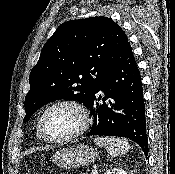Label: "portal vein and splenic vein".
Wrapping results in <instances>:
<instances>
[{
	"label": "portal vein and splenic vein",
	"mask_w": 175,
	"mask_h": 174,
	"mask_svg": "<svg viewBox=\"0 0 175 174\" xmlns=\"http://www.w3.org/2000/svg\"><path fill=\"white\" fill-rule=\"evenodd\" d=\"M97 169L94 167V169L92 170V173L91 174H97Z\"/></svg>",
	"instance_id": "18ae733b"
}]
</instances>
